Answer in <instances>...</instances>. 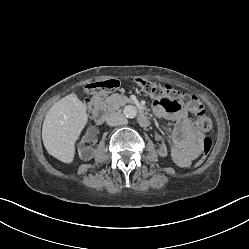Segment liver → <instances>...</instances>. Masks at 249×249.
<instances>
[{
	"label": "liver",
	"mask_w": 249,
	"mask_h": 249,
	"mask_svg": "<svg viewBox=\"0 0 249 249\" xmlns=\"http://www.w3.org/2000/svg\"><path fill=\"white\" fill-rule=\"evenodd\" d=\"M87 122L86 105L74 93L56 102L42 126V140L48 153L64 163H72L75 143Z\"/></svg>",
	"instance_id": "obj_1"
}]
</instances>
